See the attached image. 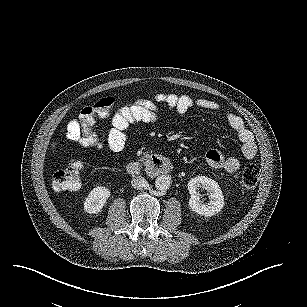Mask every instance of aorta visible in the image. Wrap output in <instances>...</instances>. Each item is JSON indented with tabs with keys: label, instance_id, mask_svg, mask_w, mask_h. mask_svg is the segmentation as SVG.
<instances>
[{
	"label": "aorta",
	"instance_id": "aorta-1",
	"mask_svg": "<svg viewBox=\"0 0 307 307\" xmlns=\"http://www.w3.org/2000/svg\"><path fill=\"white\" fill-rule=\"evenodd\" d=\"M172 180L169 175H160L155 179V187L160 191H166L171 187Z\"/></svg>",
	"mask_w": 307,
	"mask_h": 307
}]
</instances>
